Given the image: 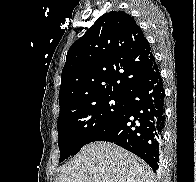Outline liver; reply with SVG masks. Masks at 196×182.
Wrapping results in <instances>:
<instances>
[{
    "instance_id": "6515ba94",
    "label": "liver",
    "mask_w": 196,
    "mask_h": 182,
    "mask_svg": "<svg viewBox=\"0 0 196 182\" xmlns=\"http://www.w3.org/2000/svg\"><path fill=\"white\" fill-rule=\"evenodd\" d=\"M151 168L136 155L104 141L85 145L63 166L56 182H154Z\"/></svg>"
}]
</instances>
